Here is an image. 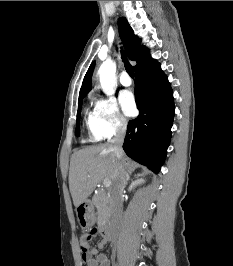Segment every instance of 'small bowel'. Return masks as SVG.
Instances as JSON below:
<instances>
[{
	"label": "small bowel",
	"instance_id": "small-bowel-1",
	"mask_svg": "<svg viewBox=\"0 0 233 266\" xmlns=\"http://www.w3.org/2000/svg\"><path fill=\"white\" fill-rule=\"evenodd\" d=\"M88 248V256L82 257L87 266H110L109 260L105 254L99 253V249H103L107 245V241L100 240L97 247H89L88 243H84Z\"/></svg>",
	"mask_w": 233,
	"mask_h": 266
}]
</instances>
